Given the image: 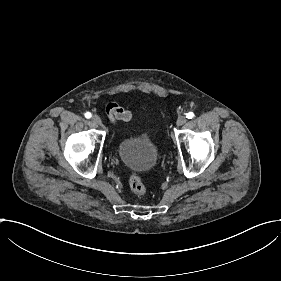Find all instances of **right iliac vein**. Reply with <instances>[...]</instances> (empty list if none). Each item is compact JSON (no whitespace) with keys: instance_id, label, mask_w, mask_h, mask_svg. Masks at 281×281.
Here are the masks:
<instances>
[{"instance_id":"63e3f726","label":"right iliac vein","mask_w":281,"mask_h":281,"mask_svg":"<svg viewBox=\"0 0 281 281\" xmlns=\"http://www.w3.org/2000/svg\"><path fill=\"white\" fill-rule=\"evenodd\" d=\"M91 121H92V123H93V124H95V125H96V126H98V127H99V126H101V125H102V123H103V122H102V120H101V119H99V118H98V117H96V116H95V117H93Z\"/></svg>"}]
</instances>
